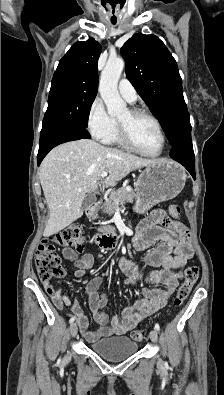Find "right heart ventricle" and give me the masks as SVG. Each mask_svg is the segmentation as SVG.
Returning a JSON list of instances; mask_svg holds the SVG:
<instances>
[{"instance_id":"obj_1","label":"right heart ventricle","mask_w":224,"mask_h":395,"mask_svg":"<svg viewBox=\"0 0 224 395\" xmlns=\"http://www.w3.org/2000/svg\"><path fill=\"white\" fill-rule=\"evenodd\" d=\"M106 144L124 146L120 140L118 132V124L115 121V127L108 137L102 140Z\"/></svg>"}]
</instances>
